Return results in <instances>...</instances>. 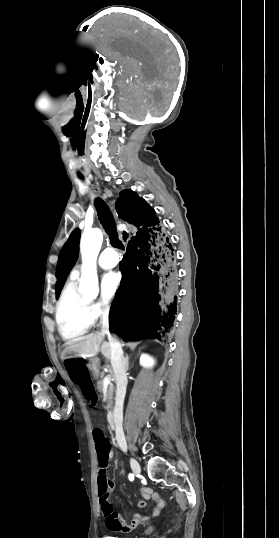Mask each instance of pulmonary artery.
<instances>
[{
    "label": "pulmonary artery",
    "instance_id": "e3ab8cb5",
    "mask_svg": "<svg viewBox=\"0 0 279 538\" xmlns=\"http://www.w3.org/2000/svg\"><path fill=\"white\" fill-rule=\"evenodd\" d=\"M119 257L116 255L113 249L108 248L101 252L99 259H98V265L103 270H110L112 269L118 262ZM80 272V265H77L73 268L71 275L76 276Z\"/></svg>",
    "mask_w": 279,
    "mask_h": 538
}]
</instances>
